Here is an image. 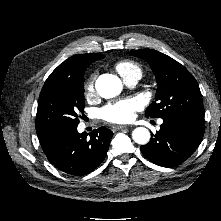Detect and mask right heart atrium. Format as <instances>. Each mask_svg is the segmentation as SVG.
Masks as SVG:
<instances>
[{"label": "right heart atrium", "mask_w": 221, "mask_h": 221, "mask_svg": "<svg viewBox=\"0 0 221 221\" xmlns=\"http://www.w3.org/2000/svg\"><path fill=\"white\" fill-rule=\"evenodd\" d=\"M84 93L86 98L90 99L96 94L95 75H91L84 84Z\"/></svg>", "instance_id": "1"}]
</instances>
